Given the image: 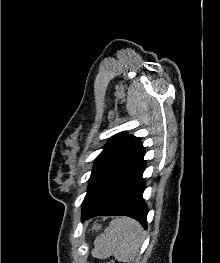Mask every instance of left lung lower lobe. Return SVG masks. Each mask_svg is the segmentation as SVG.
I'll return each mask as SVG.
<instances>
[{"mask_svg":"<svg viewBox=\"0 0 220 263\" xmlns=\"http://www.w3.org/2000/svg\"><path fill=\"white\" fill-rule=\"evenodd\" d=\"M146 165L143 157L92 207L82 210V222L95 216L124 215L146 228L147 206L142 198Z\"/></svg>","mask_w":220,"mask_h":263,"instance_id":"0a47b994","label":"left lung lower lobe"}]
</instances>
